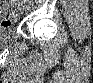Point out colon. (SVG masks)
<instances>
[{
  "instance_id": "5ec220e1",
  "label": "colon",
  "mask_w": 93,
  "mask_h": 83,
  "mask_svg": "<svg viewBox=\"0 0 93 83\" xmlns=\"http://www.w3.org/2000/svg\"><path fill=\"white\" fill-rule=\"evenodd\" d=\"M16 3V1H4L0 11L1 24H9L14 19V14L17 9L14 7H8V4Z\"/></svg>"
}]
</instances>
